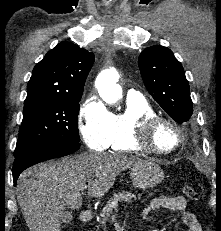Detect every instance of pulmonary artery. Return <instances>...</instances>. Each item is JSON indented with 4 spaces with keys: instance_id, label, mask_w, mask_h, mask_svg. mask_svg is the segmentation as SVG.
<instances>
[{
    "instance_id": "pulmonary-artery-1",
    "label": "pulmonary artery",
    "mask_w": 221,
    "mask_h": 231,
    "mask_svg": "<svg viewBox=\"0 0 221 231\" xmlns=\"http://www.w3.org/2000/svg\"><path fill=\"white\" fill-rule=\"evenodd\" d=\"M127 96H128V98H132V99H140V98H142L141 93L138 92L137 90H134V89L128 90Z\"/></svg>"
}]
</instances>
